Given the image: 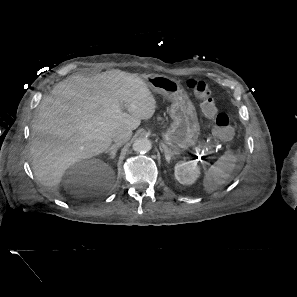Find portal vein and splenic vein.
I'll use <instances>...</instances> for the list:
<instances>
[{"mask_svg":"<svg viewBox=\"0 0 297 297\" xmlns=\"http://www.w3.org/2000/svg\"><path fill=\"white\" fill-rule=\"evenodd\" d=\"M195 151H196L197 153H202V154H204V150H201L199 147H195Z\"/></svg>","mask_w":297,"mask_h":297,"instance_id":"obj_1","label":"portal vein and splenic vein"}]
</instances>
